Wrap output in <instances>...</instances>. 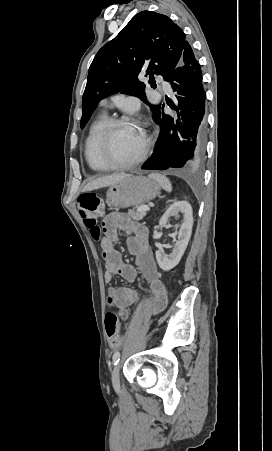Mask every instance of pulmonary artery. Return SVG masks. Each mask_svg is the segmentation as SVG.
I'll return each instance as SVG.
<instances>
[{
	"instance_id": "e3ab8cb5",
	"label": "pulmonary artery",
	"mask_w": 272,
	"mask_h": 451,
	"mask_svg": "<svg viewBox=\"0 0 272 451\" xmlns=\"http://www.w3.org/2000/svg\"><path fill=\"white\" fill-rule=\"evenodd\" d=\"M159 79L162 81V83H161L162 84V88L161 89L165 93L166 97L169 99L171 97L172 93H173L172 92V87H171L169 81L166 80V76L164 74H161L159 76ZM102 105H106V101H104L102 103Z\"/></svg>"
}]
</instances>
